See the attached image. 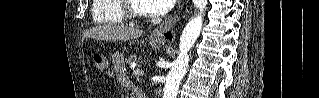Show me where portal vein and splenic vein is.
<instances>
[{"instance_id": "portal-vein-and-splenic-vein-1", "label": "portal vein and splenic vein", "mask_w": 319, "mask_h": 98, "mask_svg": "<svg viewBox=\"0 0 319 98\" xmlns=\"http://www.w3.org/2000/svg\"><path fill=\"white\" fill-rule=\"evenodd\" d=\"M133 68H134V75L137 76V77H140V76H143V71L136 68L135 69V65H133Z\"/></svg>"}]
</instances>
